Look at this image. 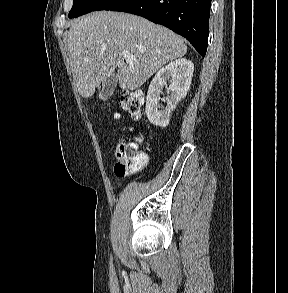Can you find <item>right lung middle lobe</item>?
Masks as SVG:
<instances>
[{"instance_id":"1","label":"right lung middle lobe","mask_w":288,"mask_h":293,"mask_svg":"<svg viewBox=\"0 0 288 293\" xmlns=\"http://www.w3.org/2000/svg\"><path fill=\"white\" fill-rule=\"evenodd\" d=\"M118 0H73L69 18L81 16L91 11L106 10Z\"/></svg>"}]
</instances>
